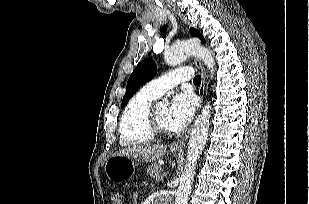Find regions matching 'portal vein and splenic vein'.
Masks as SVG:
<instances>
[{
  "label": "portal vein and splenic vein",
  "mask_w": 309,
  "mask_h": 204,
  "mask_svg": "<svg viewBox=\"0 0 309 204\" xmlns=\"http://www.w3.org/2000/svg\"><path fill=\"white\" fill-rule=\"evenodd\" d=\"M165 176V173L161 174V178H163Z\"/></svg>",
  "instance_id": "18ae733b"
}]
</instances>
